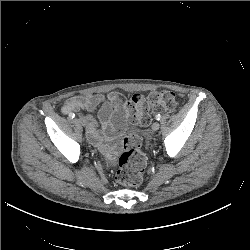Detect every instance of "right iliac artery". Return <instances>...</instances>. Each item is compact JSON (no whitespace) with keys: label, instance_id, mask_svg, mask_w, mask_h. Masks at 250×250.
<instances>
[{"label":"right iliac artery","instance_id":"82829eb1","mask_svg":"<svg viewBox=\"0 0 250 250\" xmlns=\"http://www.w3.org/2000/svg\"><path fill=\"white\" fill-rule=\"evenodd\" d=\"M69 117L73 119L75 117V114L74 113H70Z\"/></svg>","mask_w":250,"mask_h":250}]
</instances>
